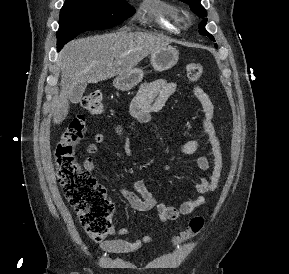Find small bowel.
Instances as JSON below:
<instances>
[{
    "mask_svg": "<svg viewBox=\"0 0 289 274\" xmlns=\"http://www.w3.org/2000/svg\"><path fill=\"white\" fill-rule=\"evenodd\" d=\"M177 91V84L164 79L151 81L142 86L139 93L133 99L131 104L132 114L135 122L127 130L123 126L117 125L115 132L118 135L124 133L130 134L139 124H145L153 117L160 115L171 96ZM194 96L199 101L202 108V129L204 138H195L186 141L176 147V151L181 156H190L196 154L202 146L207 143L210 146V157L205 154H199L196 158V165L202 172L211 169L208 176H203L195 186L197 196L194 199L184 201L179 206L160 202L146 187L143 181H136L133 189L129 190L123 187L119 188V193L125 198L131 207L139 212L156 210L158 219L161 222L174 221L182 216L193 213L197 208L206 203V195L217 189L222 176L223 155L220 140L214 125L215 107L210 96L200 87L193 89ZM105 140L104 133H98L95 136V142L91 143L87 152L90 155L100 153V144ZM83 167L91 172L95 169L93 157L88 156L83 161ZM112 234L121 236L129 234L126 228L114 229ZM153 241L151 235H143L136 240L129 241L122 238L107 239L100 243L101 249L108 254L132 253L144 245Z\"/></svg>",
    "mask_w": 289,
    "mask_h": 274,
    "instance_id": "small-bowel-1",
    "label": "small bowel"
}]
</instances>
